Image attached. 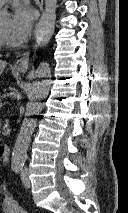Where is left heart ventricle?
<instances>
[{
  "label": "left heart ventricle",
  "mask_w": 128,
  "mask_h": 213,
  "mask_svg": "<svg viewBox=\"0 0 128 213\" xmlns=\"http://www.w3.org/2000/svg\"><path fill=\"white\" fill-rule=\"evenodd\" d=\"M11 30V24L8 22L0 27V32H3L5 35L9 36Z\"/></svg>",
  "instance_id": "1"
}]
</instances>
